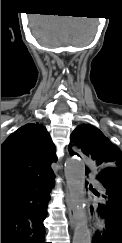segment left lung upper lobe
<instances>
[{
	"instance_id": "left-lung-upper-lobe-1",
	"label": "left lung upper lobe",
	"mask_w": 122,
	"mask_h": 243,
	"mask_svg": "<svg viewBox=\"0 0 122 243\" xmlns=\"http://www.w3.org/2000/svg\"><path fill=\"white\" fill-rule=\"evenodd\" d=\"M71 155L82 152L93 167L99 171L104 168H122V152L96 127L82 124L72 132L68 147ZM122 216V207L118 209Z\"/></svg>"
}]
</instances>
